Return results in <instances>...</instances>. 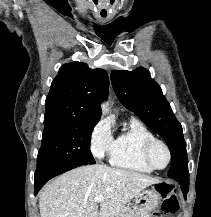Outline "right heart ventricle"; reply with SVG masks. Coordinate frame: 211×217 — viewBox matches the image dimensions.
<instances>
[{
  "label": "right heart ventricle",
  "instance_id": "obj_1",
  "mask_svg": "<svg viewBox=\"0 0 211 217\" xmlns=\"http://www.w3.org/2000/svg\"><path fill=\"white\" fill-rule=\"evenodd\" d=\"M153 138L154 135L145 125L132 119L114 139L110 163L116 167L151 173L153 169L143 159V147Z\"/></svg>",
  "mask_w": 211,
  "mask_h": 217
}]
</instances>
